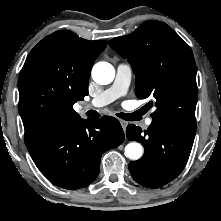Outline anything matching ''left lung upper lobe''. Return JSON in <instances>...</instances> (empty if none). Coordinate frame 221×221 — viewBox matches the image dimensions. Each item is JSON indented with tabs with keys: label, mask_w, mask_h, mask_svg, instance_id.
Wrapping results in <instances>:
<instances>
[{
	"label": "left lung upper lobe",
	"mask_w": 221,
	"mask_h": 221,
	"mask_svg": "<svg viewBox=\"0 0 221 221\" xmlns=\"http://www.w3.org/2000/svg\"><path fill=\"white\" fill-rule=\"evenodd\" d=\"M109 45L130 62L136 75V96L154 98L153 119L196 130L194 56L167 24L147 21L132 34L110 40Z\"/></svg>",
	"instance_id": "1"
}]
</instances>
